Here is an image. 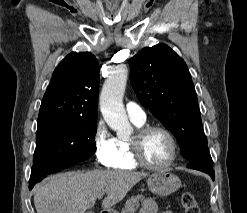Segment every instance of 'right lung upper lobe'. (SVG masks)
I'll use <instances>...</instances> for the list:
<instances>
[{"instance_id": "right-lung-upper-lobe-1", "label": "right lung upper lobe", "mask_w": 247, "mask_h": 213, "mask_svg": "<svg viewBox=\"0 0 247 213\" xmlns=\"http://www.w3.org/2000/svg\"><path fill=\"white\" fill-rule=\"evenodd\" d=\"M99 64L90 52H72L57 66L43 97L38 120L97 121Z\"/></svg>"}]
</instances>
